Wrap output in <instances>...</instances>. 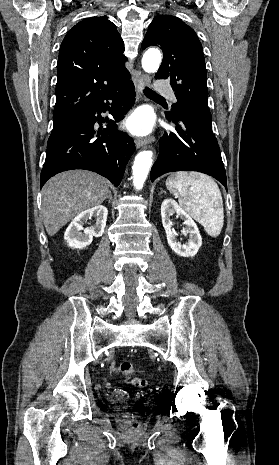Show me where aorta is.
<instances>
[{
    "instance_id": "762f6f07",
    "label": "aorta",
    "mask_w": 279,
    "mask_h": 465,
    "mask_svg": "<svg viewBox=\"0 0 279 465\" xmlns=\"http://www.w3.org/2000/svg\"><path fill=\"white\" fill-rule=\"evenodd\" d=\"M142 68L147 73L155 72L161 63V53L157 49L148 50L142 58ZM153 152L151 150H144L137 154L133 171V185L137 190L142 189L149 169L152 165Z\"/></svg>"
}]
</instances>
